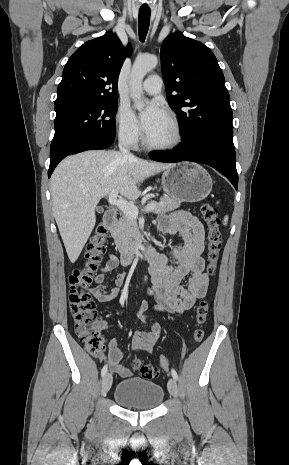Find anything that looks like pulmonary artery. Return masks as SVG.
Segmentation results:
<instances>
[{"label":"pulmonary artery","instance_id":"1","mask_svg":"<svg viewBox=\"0 0 289 465\" xmlns=\"http://www.w3.org/2000/svg\"><path fill=\"white\" fill-rule=\"evenodd\" d=\"M142 89L148 94H158L162 89V79L159 75H150L143 83Z\"/></svg>","mask_w":289,"mask_h":465}]
</instances>
